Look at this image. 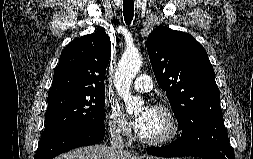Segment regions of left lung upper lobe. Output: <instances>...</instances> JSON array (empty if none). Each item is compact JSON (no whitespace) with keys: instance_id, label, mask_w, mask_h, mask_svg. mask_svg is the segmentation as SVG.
Returning <instances> with one entry per match:
<instances>
[{"instance_id":"left-lung-upper-lobe-1","label":"left lung upper lobe","mask_w":253,"mask_h":159,"mask_svg":"<svg viewBox=\"0 0 253 159\" xmlns=\"http://www.w3.org/2000/svg\"><path fill=\"white\" fill-rule=\"evenodd\" d=\"M147 51L182 132L222 116L214 69L206 50L193 36L158 26L147 38Z\"/></svg>"}]
</instances>
